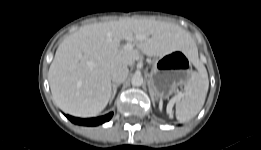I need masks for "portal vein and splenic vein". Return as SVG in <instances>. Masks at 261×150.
Returning <instances> with one entry per match:
<instances>
[{
	"label": "portal vein and splenic vein",
	"mask_w": 261,
	"mask_h": 150,
	"mask_svg": "<svg viewBox=\"0 0 261 150\" xmlns=\"http://www.w3.org/2000/svg\"><path fill=\"white\" fill-rule=\"evenodd\" d=\"M144 38H145V36L139 35L135 39H130L129 42L124 45V49H127V50L132 49L134 47L135 41H139Z\"/></svg>",
	"instance_id": "portal-vein-and-splenic-vein-1"
}]
</instances>
